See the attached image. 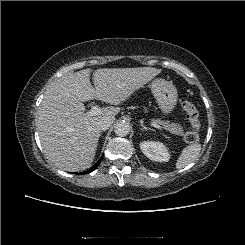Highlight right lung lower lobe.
Instances as JSON below:
<instances>
[{
	"mask_svg": "<svg viewBox=\"0 0 245 245\" xmlns=\"http://www.w3.org/2000/svg\"><path fill=\"white\" fill-rule=\"evenodd\" d=\"M100 164V161L98 162V164H96L93 168H91L90 170H88V171H86V172H81V173H79V174H85V173H90V172H92V171H94L96 168H97V166Z\"/></svg>",
	"mask_w": 245,
	"mask_h": 245,
	"instance_id": "obj_1",
	"label": "right lung lower lobe"
}]
</instances>
